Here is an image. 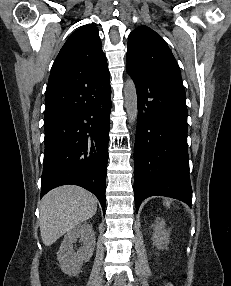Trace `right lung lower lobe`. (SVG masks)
Returning a JSON list of instances; mask_svg holds the SVG:
<instances>
[{"instance_id":"right-lung-lower-lobe-1","label":"right lung lower lobe","mask_w":231,"mask_h":286,"mask_svg":"<svg viewBox=\"0 0 231 286\" xmlns=\"http://www.w3.org/2000/svg\"><path fill=\"white\" fill-rule=\"evenodd\" d=\"M110 74L82 82L45 110L41 197L74 184L98 198L105 212L111 87Z\"/></svg>"}]
</instances>
